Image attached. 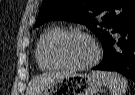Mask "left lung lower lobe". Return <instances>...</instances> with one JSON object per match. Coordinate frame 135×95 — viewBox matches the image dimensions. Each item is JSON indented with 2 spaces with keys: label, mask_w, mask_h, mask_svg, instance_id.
Segmentation results:
<instances>
[{
  "label": "left lung lower lobe",
  "mask_w": 135,
  "mask_h": 95,
  "mask_svg": "<svg viewBox=\"0 0 135 95\" xmlns=\"http://www.w3.org/2000/svg\"><path fill=\"white\" fill-rule=\"evenodd\" d=\"M102 47L103 60L93 70L115 71L135 82V14L121 23Z\"/></svg>",
  "instance_id": "left-lung-lower-lobe-1"
}]
</instances>
